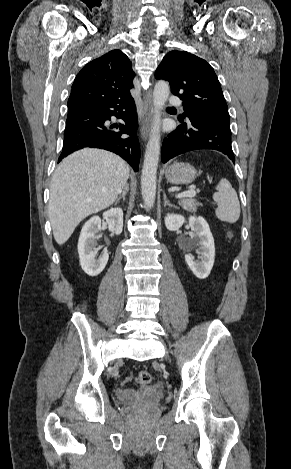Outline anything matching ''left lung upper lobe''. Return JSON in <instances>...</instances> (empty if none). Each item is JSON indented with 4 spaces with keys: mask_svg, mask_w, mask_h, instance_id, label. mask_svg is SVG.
Instances as JSON below:
<instances>
[{
    "mask_svg": "<svg viewBox=\"0 0 291 469\" xmlns=\"http://www.w3.org/2000/svg\"><path fill=\"white\" fill-rule=\"evenodd\" d=\"M155 77L169 81L171 91L183 100L186 121L197 114L229 123V113L218 78L203 59L186 51L169 52L158 66Z\"/></svg>",
    "mask_w": 291,
    "mask_h": 469,
    "instance_id": "left-lung-upper-lobe-1",
    "label": "left lung upper lobe"
}]
</instances>
